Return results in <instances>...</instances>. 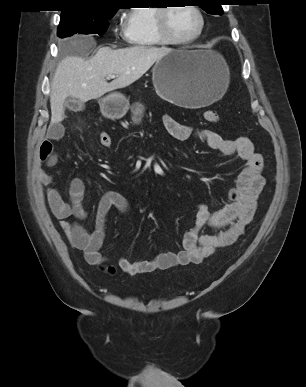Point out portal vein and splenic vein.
<instances>
[{
	"mask_svg": "<svg viewBox=\"0 0 306 387\" xmlns=\"http://www.w3.org/2000/svg\"><path fill=\"white\" fill-rule=\"evenodd\" d=\"M108 77L109 78H115V75H109Z\"/></svg>",
	"mask_w": 306,
	"mask_h": 387,
	"instance_id": "portal-vein-and-splenic-vein-1",
	"label": "portal vein and splenic vein"
}]
</instances>
